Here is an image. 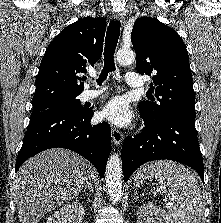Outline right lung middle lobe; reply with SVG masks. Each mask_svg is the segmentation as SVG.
Masks as SVG:
<instances>
[{
    "instance_id": "obj_1",
    "label": "right lung middle lobe",
    "mask_w": 221,
    "mask_h": 223,
    "mask_svg": "<svg viewBox=\"0 0 221 223\" xmlns=\"http://www.w3.org/2000/svg\"><path fill=\"white\" fill-rule=\"evenodd\" d=\"M76 97L33 104L31 119L56 112L77 113L84 111L86 108L81 105V102Z\"/></svg>"
}]
</instances>
